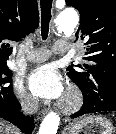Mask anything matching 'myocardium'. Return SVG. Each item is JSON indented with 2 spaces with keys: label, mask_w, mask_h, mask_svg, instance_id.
Returning <instances> with one entry per match:
<instances>
[{
  "label": "myocardium",
  "mask_w": 116,
  "mask_h": 134,
  "mask_svg": "<svg viewBox=\"0 0 116 134\" xmlns=\"http://www.w3.org/2000/svg\"><path fill=\"white\" fill-rule=\"evenodd\" d=\"M82 102L83 98L80 91L76 88H71L68 91L60 109L64 114H71L81 107Z\"/></svg>",
  "instance_id": "myocardium-1"
}]
</instances>
